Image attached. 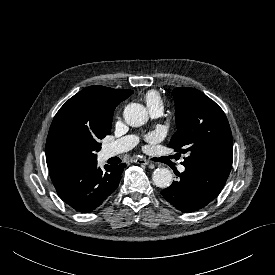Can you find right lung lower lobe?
<instances>
[{
    "instance_id": "98d812e1",
    "label": "right lung lower lobe",
    "mask_w": 275,
    "mask_h": 275,
    "mask_svg": "<svg viewBox=\"0 0 275 275\" xmlns=\"http://www.w3.org/2000/svg\"><path fill=\"white\" fill-rule=\"evenodd\" d=\"M126 164L97 167V160L80 166H62L50 171L61 199L79 212H90L117 188Z\"/></svg>"
}]
</instances>
